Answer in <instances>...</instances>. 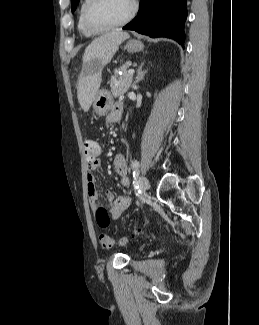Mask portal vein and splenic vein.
Returning <instances> with one entry per match:
<instances>
[{
    "instance_id": "18ae733b",
    "label": "portal vein and splenic vein",
    "mask_w": 259,
    "mask_h": 325,
    "mask_svg": "<svg viewBox=\"0 0 259 325\" xmlns=\"http://www.w3.org/2000/svg\"><path fill=\"white\" fill-rule=\"evenodd\" d=\"M128 73H129V74H134V73H135V70H134V69H129V70H128Z\"/></svg>"
}]
</instances>
